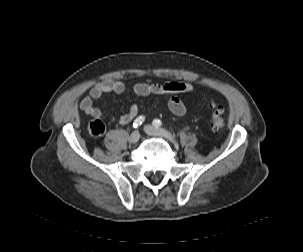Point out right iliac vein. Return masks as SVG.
<instances>
[{
	"label": "right iliac vein",
	"mask_w": 303,
	"mask_h": 252,
	"mask_svg": "<svg viewBox=\"0 0 303 252\" xmlns=\"http://www.w3.org/2000/svg\"><path fill=\"white\" fill-rule=\"evenodd\" d=\"M139 138H140V134H139V132L136 130V131H134V132L130 135V137H129V142L132 143V144L137 143L138 140H139Z\"/></svg>",
	"instance_id": "1"
}]
</instances>
